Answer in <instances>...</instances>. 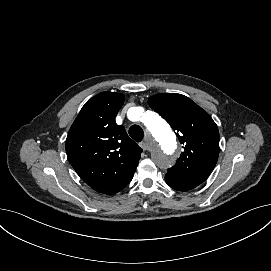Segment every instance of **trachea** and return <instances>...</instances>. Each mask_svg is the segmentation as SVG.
Listing matches in <instances>:
<instances>
[{"mask_svg":"<svg viewBox=\"0 0 271 271\" xmlns=\"http://www.w3.org/2000/svg\"><path fill=\"white\" fill-rule=\"evenodd\" d=\"M129 135L136 142H140L144 137L143 129L139 125H132L129 128Z\"/></svg>","mask_w":271,"mask_h":271,"instance_id":"trachea-1","label":"trachea"}]
</instances>
